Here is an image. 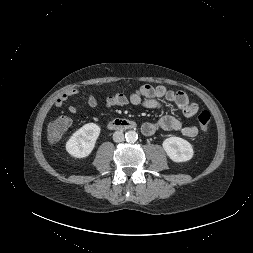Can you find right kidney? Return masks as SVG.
I'll use <instances>...</instances> for the list:
<instances>
[{
	"mask_svg": "<svg viewBox=\"0 0 253 253\" xmlns=\"http://www.w3.org/2000/svg\"><path fill=\"white\" fill-rule=\"evenodd\" d=\"M100 130V127L95 123L85 124L67 141V152L75 158H85L89 156L95 147Z\"/></svg>",
	"mask_w": 253,
	"mask_h": 253,
	"instance_id": "ca27d5eb",
	"label": "right kidney"
}]
</instances>
